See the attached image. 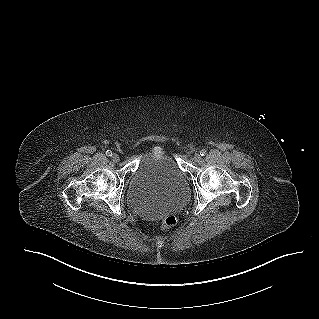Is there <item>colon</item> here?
Wrapping results in <instances>:
<instances>
[{"label":"colon","mask_w":319,"mask_h":319,"mask_svg":"<svg viewBox=\"0 0 319 319\" xmlns=\"http://www.w3.org/2000/svg\"><path fill=\"white\" fill-rule=\"evenodd\" d=\"M177 223V218L174 214H169L167 216H165L161 222H160V225H159V230L160 231H165L167 229H170L172 228L173 226H175Z\"/></svg>","instance_id":"obj_1"}]
</instances>
